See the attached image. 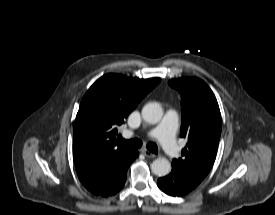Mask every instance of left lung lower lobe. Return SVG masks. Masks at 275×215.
Here are the masks:
<instances>
[{"mask_svg":"<svg viewBox=\"0 0 275 215\" xmlns=\"http://www.w3.org/2000/svg\"><path fill=\"white\" fill-rule=\"evenodd\" d=\"M204 178L185 170L176 163H172L169 175L159 178L158 187L170 196L181 197L195 189Z\"/></svg>","mask_w":275,"mask_h":215,"instance_id":"0a47b994","label":"left lung lower lobe"}]
</instances>
